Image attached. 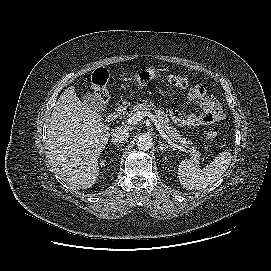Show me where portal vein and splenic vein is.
<instances>
[{
  "instance_id": "18ae733b",
  "label": "portal vein and splenic vein",
  "mask_w": 271,
  "mask_h": 271,
  "mask_svg": "<svg viewBox=\"0 0 271 271\" xmlns=\"http://www.w3.org/2000/svg\"><path fill=\"white\" fill-rule=\"evenodd\" d=\"M144 116H148L156 126L157 130L159 131L160 135L162 136L163 139L166 140L172 147H175L177 149H180L181 151H184L185 149L177 144H175L173 141L170 140V138L165 134L163 131L160 123L157 121L156 117L152 113L148 112H138L134 114L132 117L128 119V123L135 125L137 124L141 119H143Z\"/></svg>"
}]
</instances>
